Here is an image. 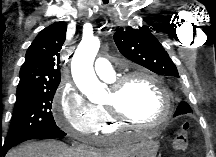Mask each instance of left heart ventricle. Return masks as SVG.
I'll return each mask as SVG.
<instances>
[{"label": "left heart ventricle", "instance_id": "obj_1", "mask_svg": "<svg viewBox=\"0 0 216 157\" xmlns=\"http://www.w3.org/2000/svg\"><path fill=\"white\" fill-rule=\"evenodd\" d=\"M110 99L109 93L106 102ZM121 105L126 114L141 121H154L163 111L161 93L153 83L142 78H134L125 85Z\"/></svg>", "mask_w": 216, "mask_h": 157}]
</instances>
